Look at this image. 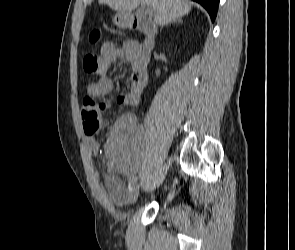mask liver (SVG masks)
I'll return each instance as SVG.
<instances>
[{"instance_id": "1", "label": "liver", "mask_w": 295, "mask_h": 250, "mask_svg": "<svg viewBox=\"0 0 295 250\" xmlns=\"http://www.w3.org/2000/svg\"><path fill=\"white\" fill-rule=\"evenodd\" d=\"M99 4L126 13H131L140 4L147 5L154 12V22L162 26L187 15L191 10V5L186 0H99Z\"/></svg>"}]
</instances>
